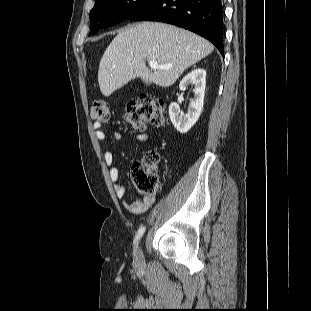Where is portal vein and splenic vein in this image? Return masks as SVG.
I'll list each match as a JSON object with an SVG mask.
<instances>
[{"mask_svg": "<svg viewBox=\"0 0 311 311\" xmlns=\"http://www.w3.org/2000/svg\"><path fill=\"white\" fill-rule=\"evenodd\" d=\"M148 64H149L150 68L153 70L169 69L172 67V65H158V63L156 61H149Z\"/></svg>", "mask_w": 311, "mask_h": 311, "instance_id": "18ae733b", "label": "portal vein and splenic vein"}]
</instances>
